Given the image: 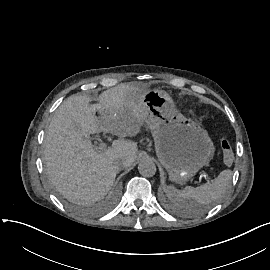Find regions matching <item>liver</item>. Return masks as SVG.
<instances>
[{"mask_svg": "<svg viewBox=\"0 0 270 270\" xmlns=\"http://www.w3.org/2000/svg\"><path fill=\"white\" fill-rule=\"evenodd\" d=\"M143 94L144 89L124 83L101 92L94 104L91 96L80 94L63 101L47 130L43 153L51 183L66 198L95 202L110 190L119 167L134 163L137 143L124 138L141 132L149 113ZM96 109H101L100 120ZM104 127L122 139L97 153L89 136L106 132Z\"/></svg>", "mask_w": 270, "mask_h": 270, "instance_id": "6515ba94", "label": "liver"}]
</instances>
